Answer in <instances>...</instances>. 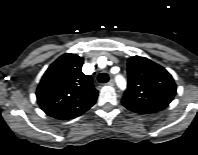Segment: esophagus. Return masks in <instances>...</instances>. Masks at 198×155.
<instances>
[{
  "instance_id": "esophagus-1",
  "label": "esophagus",
  "mask_w": 198,
  "mask_h": 155,
  "mask_svg": "<svg viewBox=\"0 0 198 155\" xmlns=\"http://www.w3.org/2000/svg\"><path fill=\"white\" fill-rule=\"evenodd\" d=\"M114 84H115V82H114L113 79H111V80L107 83V85H109V86H113Z\"/></svg>"
}]
</instances>
